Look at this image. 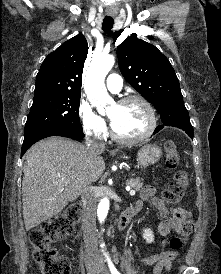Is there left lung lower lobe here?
<instances>
[{
	"mask_svg": "<svg viewBox=\"0 0 221 274\" xmlns=\"http://www.w3.org/2000/svg\"><path fill=\"white\" fill-rule=\"evenodd\" d=\"M161 119L163 125L158 126L153 134L157 133L164 126H173L182 129L188 134L189 137L193 138V128L185 105L169 110L167 114H164V116L161 117Z\"/></svg>",
	"mask_w": 221,
	"mask_h": 274,
	"instance_id": "left-lung-lower-lobe-1",
	"label": "left lung lower lobe"
}]
</instances>
